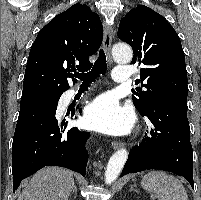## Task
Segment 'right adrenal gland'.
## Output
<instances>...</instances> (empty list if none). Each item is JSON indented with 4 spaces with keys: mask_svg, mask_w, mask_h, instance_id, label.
<instances>
[{
    "mask_svg": "<svg viewBox=\"0 0 201 200\" xmlns=\"http://www.w3.org/2000/svg\"><path fill=\"white\" fill-rule=\"evenodd\" d=\"M77 192V188H76V186L74 185V188H73V190H72V194L73 193H76Z\"/></svg>",
    "mask_w": 201,
    "mask_h": 200,
    "instance_id": "right-adrenal-gland-1",
    "label": "right adrenal gland"
}]
</instances>
